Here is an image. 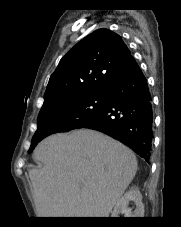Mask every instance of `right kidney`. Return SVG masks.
I'll return each mask as SVG.
<instances>
[{"mask_svg":"<svg viewBox=\"0 0 181 227\" xmlns=\"http://www.w3.org/2000/svg\"><path fill=\"white\" fill-rule=\"evenodd\" d=\"M130 202H134L136 208L128 207ZM124 214L126 217H144V204L142 203V195L137 187H131L116 203L111 217H119Z\"/></svg>","mask_w":181,"mask_h":227,"instance_id":"right-kidney-1","label":"right kidney"}]
</instances>
